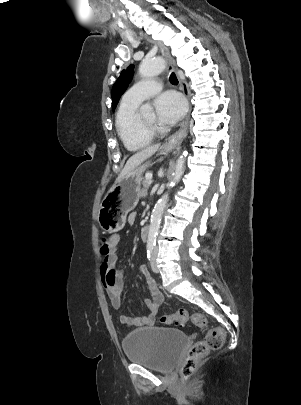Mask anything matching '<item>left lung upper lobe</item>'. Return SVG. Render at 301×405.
Masks as SVG:
<instances>
[{
    "instance_id": "5c2ea615",
    "label": "left lung upper lobe",
    "mask_w": 301,
    "mask_h": 405,
    "mask_svg": "<svg viewBox=\"0 0 301 405\" xmlns=\"http://www.w3.org/2000/svg\"><path fill=\"white\" fill-rule=\"evenodd\" d=\"M133 68H134V65H130V66L127 67V69L123 70L121 72L118 80L113 85V88H112V106H113V110L116 108L117 103H118L121 95L127 89L128 84L132 79Z\"/></svg>"
}]
</instances>
